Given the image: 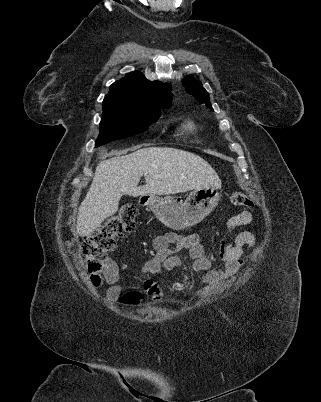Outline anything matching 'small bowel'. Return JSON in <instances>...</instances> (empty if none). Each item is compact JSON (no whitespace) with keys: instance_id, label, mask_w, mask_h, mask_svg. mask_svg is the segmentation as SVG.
I'll use <instances>...</instances> for the list:
<instances>
[{"instance_id":"c3829d8e","label":"small bowel","mask_w":321,"mask_h":402,"mask_svg":"<svg viewBox=\"0 0 321 402\" xmlns=\"http://www.w3.org/2000/svg\"><path fill=\"white\" fill-rule=\"evenodd\" d=\"M254 220L249 210H242L231 216L226 227L229 232L232 230L250 225ZM257 245L255 236L249 231H242L234 238L226 241L220 246L221 265L213 267L212 258L206 252L197 234L177 235L166 233L156 237L153 241L155 254L147 259L143 266L145 274L153 275L162 271H171L179 268L182 261L177 255L178 252L187 251L192 260L191 269L194 272H206L202 278L203 284L212 286L225 277L232 276L242 266V254L245 247L254 249ZM106 282L109 285L107 296L110 299L116 298L123 286L120 285V271L118 266L111 260L106 261L105 269ZM146 290L159 300L162 296L161 289L152 282L146 284Z\"/></svg>"}]
</instances>
